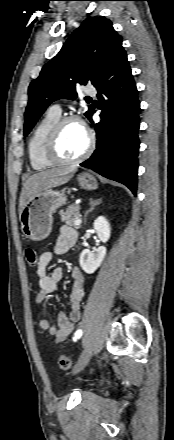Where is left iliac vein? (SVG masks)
<instances>
[{"instance_id": "4c4485c4", "label": "left iliac vein", "mask_w": 174, "mask_h": 440, "mask_svg": "<svg viewBox=\"0 0 174 440\" xmlns=\"http://www.w3.org/2000/svg\"><path fill=\"white\" fill-rule=\"evenodd\" d=\"M92 355V347L88 346L84 349L81 356L79 357L75 367L72 370V374H78L88 363Z\"/></svg>"}]
</instances>
